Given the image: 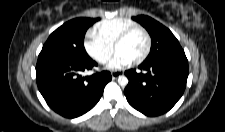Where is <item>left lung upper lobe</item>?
Instances as JSON below:
<instances>
[{
	"mask_svg": "<svg viewBox=\"0 0 225 132\" xmlns=\"http://www.w3.org/2000/svg\"><path fill=\"white\" fill-rule=\"evenodd\" d=\"M133 19L145 27L151 36L150 53L144 62L185 56L178 40L168 28L148 16L140 15Z\"/></svg>",
	"mask_w": 225,
	"mask_h": 132,
	"instance_id": "5c2ea615",
	"label": "left lung upper lobe"
}]
</instances>
